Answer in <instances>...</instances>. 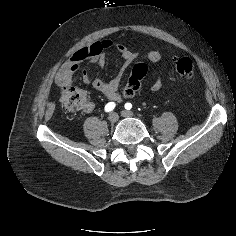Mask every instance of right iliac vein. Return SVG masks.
I'll return each instance as SVG.
<instances>
[{
  "label": "right iliac vein",
  "instance_id": "63e3f726",
  "mask_svg": "<svg viewBox=\"0 0 236 236\" xmlns=\"http://www.w3.org/2000/svg\"><path fill=\"white\" fill-rule=\"evenodd\" d=\"M119 117L118 114L115 112L110 113L108 120L110 123H116L118 121Z\"/></svg>",
  "mask_w": 236,
  "mask_h": 236
}]
</instances>
